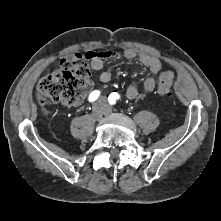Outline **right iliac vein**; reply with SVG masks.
Here are the masks:
<instances>
[{"label":"right iliac vein","mask_w":221,"mask_h":221,"mask_svg":"<svg viewBox=\"0 0 221 221\" xmlns=\"http://www.w3.org/2000/svg\"><path fill=\"white\" fill-rule=\"evenodd\" d=\"M103 115V109L100 106H95L93 108V117L96 120H99Z\"/></svg>","instance_id":"63e3f726"}]
</instances>
